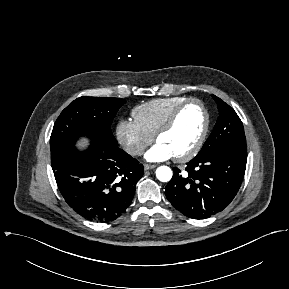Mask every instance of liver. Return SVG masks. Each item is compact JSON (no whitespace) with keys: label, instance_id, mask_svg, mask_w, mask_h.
<instances>
[{"label":"liver","instance_id":"1","mask_svg":"<svg viewBox=\"0 0 289 289\" xmlns=\"http://www.w3.org/2000/svg\"><path fill=\"white\" fill-rule=\"evenodd\" d=\"M88 143L89 141L86 138H83L77 143V148L84 149L85 147H87Z\"/></svg>","mask_w":289,"mask_h":289}]
</instances>
